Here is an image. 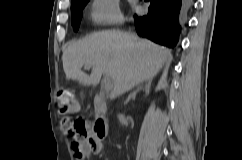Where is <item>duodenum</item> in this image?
I'll return each mask as SVG.
<instances>
[{
  "label": "duodenum",
  "instance_id": "1",
  "mask_svg": "<svg viewBox=\"0 0 242 160\" xmlns=\"http://www.w3.org/2000/svg\"><path fill=\"white\" fill-rule=\"evenodd\" d=\"M94 119L90 126L91 133L97 142L104 140L108 135L109 125L106 118V103L100 95L94 96Z\"/></svg>",
  "mask_w": 242,
  "mask_h": 160
}]
</instances>
